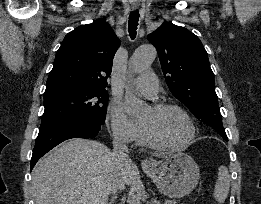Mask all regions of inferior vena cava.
Instances as JSON below:
<instances>
[{
  "label": "inferior vena cava",
  "instance_id": "obj_1",
  "mask_svg": "<svg viewBox=\"0 0 261 204\" xmlns=\"http://www.w3.org/2000/svg\"><path fill=\"white\" fill-rule=\"evenodd\" d=\"M127 152L128 147L125 142L117 135H114L113 156L114 165L118 173H116V175L112 179L110 187L111 193L115 194L118 190H122L124 188V183L122 182L121 174L119 173V171L130 161V157L128 156Z\"/></svg>",
  "mask_w": 261,
  "mask_h": 204
}]
</instances>
